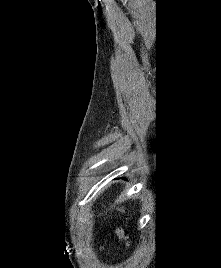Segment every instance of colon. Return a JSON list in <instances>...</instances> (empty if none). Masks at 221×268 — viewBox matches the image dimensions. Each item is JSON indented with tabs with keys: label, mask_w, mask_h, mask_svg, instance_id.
<instances>
[{
	"label": "colon",
	"mask_w": 221,
	"mask_h": 268,
	"mask_svg": "<svg viewBox=\"0 0 221 268\" xmlns=\"http://www.w3.org/2000/svg\"><path fill=\"white\" fill-rule=\"evenodd\" d=\"M117 210L121 214V219L116 223L115 231L123 245L128 247L130 245V239L125 229L128 221V215L126 210L122 207H118Z\"/></svg>",
	"instance_id": "5ec220e1"
}]
</instances>
